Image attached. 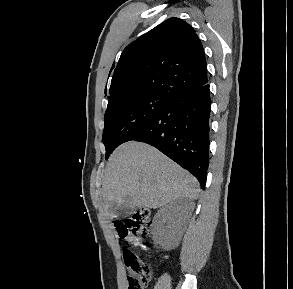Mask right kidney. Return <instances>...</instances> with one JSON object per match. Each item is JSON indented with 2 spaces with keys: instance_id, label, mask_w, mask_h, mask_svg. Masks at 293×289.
Here are the masks:
<instances>
[{
  "instance_id": "obj_1",
  "label": "right kidney",
  "mask_w": 293,
  "mask_h": 289,
  "mask_svg": "<svg viewBox=\"0 0 293 289\" xmlns=\"http://www.w3.org/2000/svg\"><path fill=\"white\" fill-rule=\"evenodd\" d=\"M187 203L176 199L161 208L154 216L153 225L163 245L171 249L175 247L186 230Z\"/></svg>"
}]
</instances>
